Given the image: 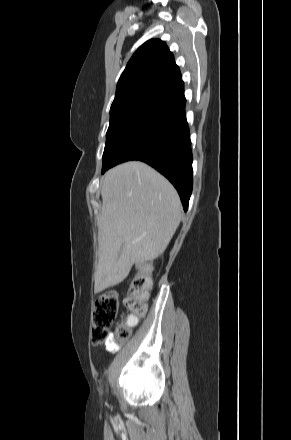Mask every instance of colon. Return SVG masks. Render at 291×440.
<instances>
[{
  "mask_svg": "<svg viewBox=\"0 0 291 440\" xmlns=\"http://www.w3.org/2000/svg\"><path fill=\"white\" fill-rule=\"evenodd\" d=\"M151 260L146 261L141 271L128 279L123 290V301L128 316L142 318L146 313V300L151 287ZM120 293L109 291L96 299L91 319V341L94 345L106 342H125L131 335V326H119L114 332L111 327L118 314Z\"/></svg>",
  "mask_w": 291,
  "mask_h": 440,
  "instance_id": "5ec220e1",
  "label": "colon"
}]
</instances>
